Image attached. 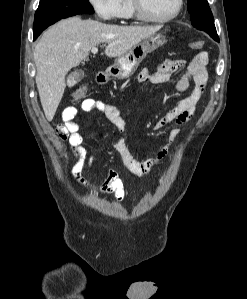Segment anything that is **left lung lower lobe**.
<instances>
[{"label":"left lung lower lobe","mask_w":247,"mask_h":299,"mask_svg":"<svg viewBox=\"0 0 247 299\" xmlns=\"http://www.w3.org/2000/svg\"><path fill=\"white\" fill-rule=\"evenodd\" d=\"M215 41H219V37L218 36H211Z\"/></svg>","instance_id":"left-lung-lower-lobe-1"}]
</instances>
